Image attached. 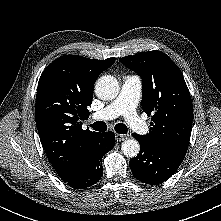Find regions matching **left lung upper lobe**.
<instances>
[{"mask_svg":"<svg viewBox=\"0 0 221 221\" xmlns=\"http://www.w3.org/2000/svg\"><path fill=\"white\" fill-rule=\"evenodd\" d=\"M119 61L142 79V109L152 116L148 134L139 139L156 149L184 155L190 140L193 107L178 66L163 52L150 51Z\"/></svg>","mask_w":221,"mask_h":221,"instance_id":"1","label":"left lung upper lobe"}]
</instances>
